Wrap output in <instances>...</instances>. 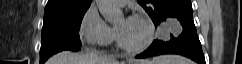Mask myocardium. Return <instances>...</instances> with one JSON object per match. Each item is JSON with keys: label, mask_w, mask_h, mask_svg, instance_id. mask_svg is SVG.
Masks as SVG:
<instances>
[{"label": "myocardium", "mask_w": 242, "mask_h": 64, "mask_svg": "<svg viewBox=\"0 0 242 64\" xmlns=\"http://www.w3.org/2000/svg\"><path fill=\"white\" fill-rule=\"evenodd\" d=\"M129 19H134V20L141 21V22H143L147 26V28H148L147 38L141 45L129 46V45H127L123 41V39H122L118 29H116L118 45L124 51H126L128 53H140V52H143L152 44V42L154 40V37H155V26H154V23L151 21V19H149L148 17H146L144 15H141V14H134V15L130 16Z\"/></svg>", "instance_id": "obj_1"}]
</instances>
